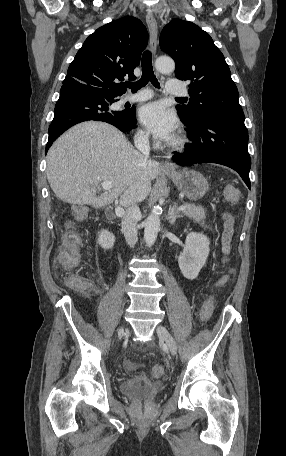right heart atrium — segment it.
<instances>
[{"mask_svg":"<svg viewBox=\"0 0 286 456\" xmlns=\"http://www.w3.org/2000/svg\"><path fill=\"white\" fill-rule=\"evenodd\" d=\"M137 137L140 141L148 140V134L144 130H139Z\"/></svg>","mask_w":286,"mask_h":456,"instance_id":"right-heart-atrium-1","label":"right heart atrium"}]
</instances>
